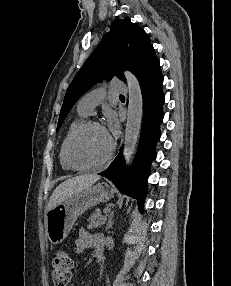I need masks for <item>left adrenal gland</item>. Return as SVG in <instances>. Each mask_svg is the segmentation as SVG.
I'll return each instance as SVG.
<instances>
[{"label":"left adrenal gland","mask_w":231,"mask_h":286,"mask_svg":"<svg viewBox=\"0 0 231 286\" xmlns=\"http://www.w3.org/2000/svg\"><path fill=\"white\" fill-rule=\"evenodd\" d=\"M112 217H113V213H111V214L109 215L108 223H107V225H106V231H107L108 229H110V228L112 227V225H113Z\"/></svg>","instance_id":"1"}]
</instances>
